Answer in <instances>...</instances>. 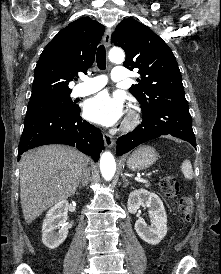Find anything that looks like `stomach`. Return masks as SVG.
I'll return each instance as SVG.
<instances>
[{"mask_svg": "<svg viewBox=\"0 0 221 274\" xmlns=\"http://www.w3.org/2000/svg\"><path fill=\"white\" fill-rule=\"evenodd\" d=\"M157 160V152L153 147L141 146L127 159V167L139 171L152 166Z\"/></svg>", "mask_w": 221, "mask_h": 274, "instance_id": "1", "label": "stomach"}]
</instances>
